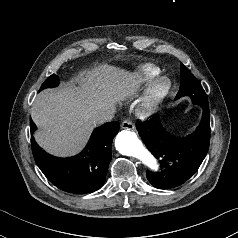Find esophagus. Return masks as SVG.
<instances>
[{
	"label": "esophagus",
	"instance_id": "esophagus-1",
	"mask_svg": "<svg viewBox=\"0 0 238 238\" xmlns=\"http://www.w3.org/2000/svg\"><path fill=\"white\" fill-rule=\"evenodd\" d=\"M135 128L133 122L129 119L124 120L121 123V129H125V130H133Z\"/></svg>",
	"mask_w": 238,
	"mask_h": 238
}]
</instances>
